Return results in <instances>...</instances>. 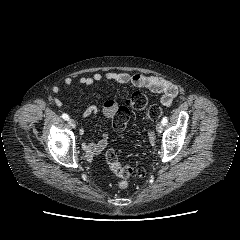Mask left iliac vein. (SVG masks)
Wrapping results in <instances>:
<instances>
[{
    "mask_svg": "<svg viewBox=\"0 0 240 240\" xmlns=\"http://www.w3.org/2000/svg\"><path fill=\"white\" fill-rule=\"evenodd\" d=\"M156 130H157L158 133H161L163 131V124L161 122H159L156 125Z\"/></svg>",
    "mask_w": 240,
    "mask_h": 240,
    "instance_id": "left-iliac-vein-1",
    "label": "left iliac vein"
}]
</instances>
